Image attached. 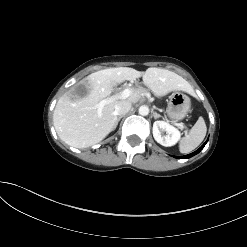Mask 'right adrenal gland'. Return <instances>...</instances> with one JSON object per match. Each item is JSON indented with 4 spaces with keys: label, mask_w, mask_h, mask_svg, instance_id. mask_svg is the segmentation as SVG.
<instances>
[{
    "label": "right adrenal gland",
    "mask_w": 247,
    "mask_h": 247,
    "mask_svg": "<svg viewBox=\"0 0 247 247\" xmlns=\"http://www.w3.org/2000/svg\"><path fill=\"white\" fill-rule=\"evenodd\" d=\"M122 117H123V116H118V117H117L116 126H117L118 122L121 120Z\"/></svg>",
    "instance_id": "1"
}]
</instances>
